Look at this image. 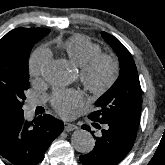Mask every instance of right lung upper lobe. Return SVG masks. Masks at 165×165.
<instances>
[{
	"label": "right lung upper lobe",
	"instance_id": "1",
	"mask_svg": "<svg viewBox=\"0 0 165 165\" xmlns=\"http://www.w3.org/2000/svg\"><path fill=\"white\" fill-rule=\"evenodd\" d=\"M24 30H35V31H42V32H48L50 31L49 29H45V28H16L12 31H10L9 33H7L3 38L2 40H6V39H9V38H12L18 34H20L21 32H23Z\"/></svg>",
	"mask_w": 165,
	"mask_h": 165
}]
</instances>
